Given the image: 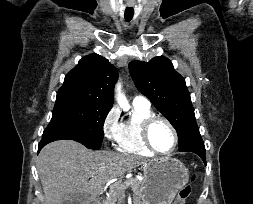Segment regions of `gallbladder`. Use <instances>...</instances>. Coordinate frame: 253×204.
<instances>
[{
    "label": "gallbladder",
    "instance_id": "obj_1",
    "mask_svg": "<svg viewBox=\"0 0 253 204\" xmlns=\"http://www.w3.org/2000/svg\"><path fill=\"white\" fill-rule=\"evenodd\" d=\"M87 200L88 194L86 193L70 194L61 204H85Z\"/></svg>",
    "mask_w": 253,
    "mask_h": 204
}]
</instances>
